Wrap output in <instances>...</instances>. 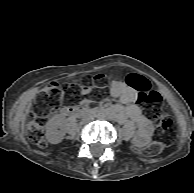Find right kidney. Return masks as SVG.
Segmentation results:
<instances>
[{
  "instance_id": "ca27d5eb",
  "label": "right kidney",
  "mask_w": 194,
  "mask_h": 193,
  "mask_svg": "<svg viewBox=\"0 0 194 193\" xmlns=\"http://www.w3.org/2000/svg\"><path fill=\"white\" fill-rule=\"evenodd\" d=\"M65 136L59 116H53L46 125V139L51 144L60 143Z\"/></svg>"
}]
</instances>
